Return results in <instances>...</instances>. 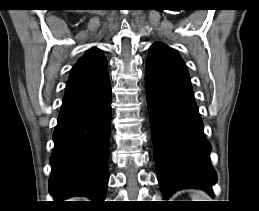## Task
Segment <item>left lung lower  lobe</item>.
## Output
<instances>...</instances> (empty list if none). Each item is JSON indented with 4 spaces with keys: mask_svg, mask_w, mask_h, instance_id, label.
Here are the masks:
<instances>
[{
    "mask_svg": "<svg viewBox=\"0 0 259 211\" xmlns=\"http://www.w3.org/2000/svg\"><path fill=\"white\" fill-rule=\"evenodd\" d=\"M154 159L164 198L183 188H201L213 195L216 173L211 145L192 90L167 87L145 77Z\"/></svg>",
    "mask_w": 259,
    "mask_h": 211,
    "instance_id": "1",
    "label": "left lung lower lobe"
}]
</instances>
